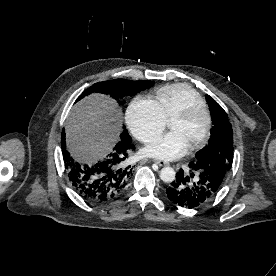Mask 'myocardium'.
Returning a JSON list of instances; mask_svg holds the SVG:
<instances>
[{
  "mask_svg": "<svg viewBox=\"0 0 276 276\" xmlns=\"http://www.w3.org/2000/svg\"><path fill=\"white\" fill-rule=\"evenodd\" d=\"M198 114L204 115L205 128H204V132H203L201 138L190 147L191 151H195V150H198V149H201L202 147H204L210 137L211 128H212V117L209 112V109L207 108V106H204V105L193 104V105L186 107L179 113H177L171 119V121L172 120H190V119L194 118L195 116H197Z\"/></svg>",
  "mask_w": 276,
  "mask_h": 276,
  "instance_id": "obj_1",
  "label": "myocardium"
}]
</instances>
